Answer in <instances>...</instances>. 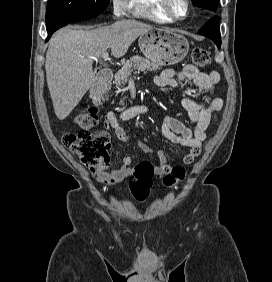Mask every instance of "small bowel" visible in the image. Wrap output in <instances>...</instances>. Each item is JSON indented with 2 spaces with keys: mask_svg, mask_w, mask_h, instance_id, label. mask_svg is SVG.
Returning <instances> with one entry per match:
<instances>
[{
  "mask_svg": "<svg viewBox=\"0 0 272 282\" xmlns=\"http://www.w3.org/2000/svg\"><path fill=\"white\" fill-rule=\"evenodd\" d=\"M186 87L195 86L203 96L202 102L197 103L189 97H183L181 104L187 111L188 117L193 122V129L188 128L180 120L165 116L162 120L161 135L174 145L186 148L189 151L181 157L182 164H190L199 156L202 142L206 139V131L212 118H217V113L222 109L224 102L221 98H214L215 85L220 80L218 72L205 73L196 66L188 64L182 69H165L154 78L155 85L159 87L176 86L177 80ZM105 128H112L118 140L128 142L125 130L120 124L116 113L107 114L104 121ZM137 146L146 154H151L150 147L144 142L137 140ZM132 159L128 156L119 159V165L108 171L90 169L92 177L104 187H113L123 181L132 173ZM155 174L158 176L169 173L174 165L170 164L163 152H158V159L153 165Z\"/></svg>",
  "mask_w": 272,
  "mask_h": 282,
  "instance_id": "1",
  "label": "small bowel"
}]
</instances>
